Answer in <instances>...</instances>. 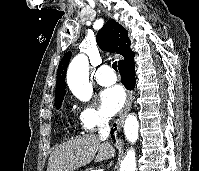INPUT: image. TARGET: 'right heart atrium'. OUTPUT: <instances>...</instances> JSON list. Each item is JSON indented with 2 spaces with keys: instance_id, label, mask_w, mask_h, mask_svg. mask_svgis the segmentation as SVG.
Masks as SVG:
<instances>
[{
  "instance_id": "d8ad5b80",
  "label": "right heart atrium",
  "mask_w": 199,
  "mask_h": 171,
  "mask_svg": "<svg viewBox=\"0 0 199 171\" xmlns=\"http://www.w3.org/2000/svg\"><path fill=\"white\" fill-rule=\"evenodd\" d=\"M108 117L95 105L84 104L78 113V124L84 132H92L108 123Z\"/></svg>"
}]
</instances>
